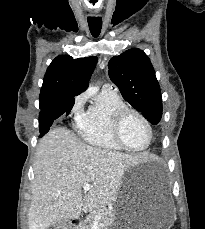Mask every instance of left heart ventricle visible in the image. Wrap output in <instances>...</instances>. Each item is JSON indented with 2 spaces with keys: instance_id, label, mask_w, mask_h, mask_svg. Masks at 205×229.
Wrapping results in <instances>:
<instances>
[{
  "instance_id": "1",
  "label": "left heart ventricle",
  "mask_w": 205,
  "mask_h": 229,
  "mask_svg": "<svg viewBox=\"0 0 205 229\" xmlns=\"http://www.w3.org/2000/svg\"><path fill=\"white\" fill-rule=\"evenodd\" d=\"M122 137L129 146L141 148L148 141V130L139 118L129 115L122 126Z\"/></svg>"
}]
</instances>
